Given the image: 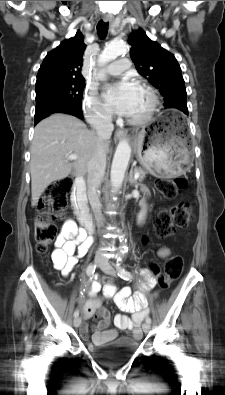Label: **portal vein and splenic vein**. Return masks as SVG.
Returning a JSON list of instances; mask_svg holds the SVG:
<instances>
[{"label": "portal vein and splenic vein", "instance_id": "18ae733b", "mask_svg": "<svg viewBox=\"0 0 225 395\" xmlns=\"http://www.w3.org/2000/svg\"><path fill=\"white\" fill-rule=\"evenodd\" d=\"M78 157L75 154H71L68 156V160H76ZM140 176V174L138 172L135 173L134 177L135 179H138Z\"/></svg>", "mask_w": 225, "mask_h": 395}]
</instances>
